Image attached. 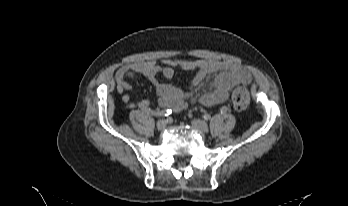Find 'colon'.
<instances>
[{"instance_id":"colon-1","label":"colon","mask_w":348,"mask_h":206,"mask_svg":"<svg viewBox=\"0 0 348 206\" xmlns=\"http://www.w3.org/2000/svg\"><path fill=\"white\" fill-rule=\"evenodd\" d=\"M232 102L236 110L238 111H245L247 110L249 106V93L248 91L243 87H237L233 90L232 95Z\"/></svg>"}]
</instances>
